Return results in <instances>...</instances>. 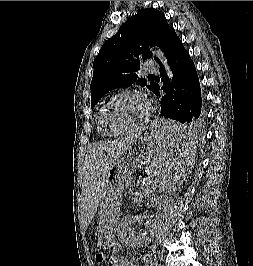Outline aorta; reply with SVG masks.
<instances>
[{
  "label": "aorta",
  "instance_id": "aorta-1",
  "mask_svg": "<svg viewBox=\"0 0 253 266\" xmlns=\"http://www.w3.org/2000/svg\"><path fill=\"white\" fill-rule=\"evenodd\" d=\"M152 51H153L154 55H156L162 61L163 65L166 69L167 76L169 78H172L173 73H172V71H171V69L167 63V59H166L164 53L161 50H159L158 48H154Z\"/></svg>",
  "mask_w": 253,
  "mask_h": 266
}]
</instances>
